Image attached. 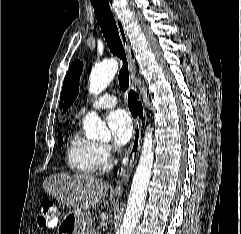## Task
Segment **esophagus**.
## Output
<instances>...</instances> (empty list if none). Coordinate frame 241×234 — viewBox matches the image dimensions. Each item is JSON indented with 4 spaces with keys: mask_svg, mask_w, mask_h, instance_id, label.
Listing matches in <instances>:
<instances>
[{
    "mask_svg": "<svg viewBox=\"0 0 241 234\" xmlns=\"http://www.w3.org/2000/svg\"><path fill=\"white\" fill-rule=\"evenodd\" d=\"M108 3L111 7L112 13L114 15L116 25L118 28L119 36L123 45V48L125 50L127 60H128V68L130 72V87L133 90H136V83H135V63L132 58L130 47H129V41L128 37L124 28V25L122 21L117 17L114 6L112 4V0H108ZM141 121L139 117H136L135 119V126H134V132H133V138L131 141V144L129 146V149L126 153L125 159L122 164V171L120 175L118 176L117 184L114 189V192L117 194H120L124 190V186L127 184L130 173L132 169L134 168V165L136 164V160L138 157V153L140 150V140H141Z\"/></svg>",
    "mask_w": 241,
    "mask_h": 234,
    "instance_id": "obj_1",
    "label": "esophagus"
}]
</instances>
